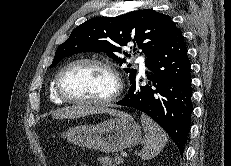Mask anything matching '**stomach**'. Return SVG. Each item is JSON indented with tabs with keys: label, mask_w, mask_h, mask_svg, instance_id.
<instances>
[{
	"label": "stomach",
	"mask_w": 231,
	"mask_h": 166,
	"mask_svg": "<svg viewBox=\"0 0 231 166\" xmlns=\"http://www.w3.org/2000/svg\"><path fill=\"white\" fill-rule=\"evenodd\" d=\"M141 135L140 125L126 113L96 125L74 126L65 133L71 143L105 153L131 148L139 143Z\"/></svg>",
	"instance_id": "1"
}]
</instances>
